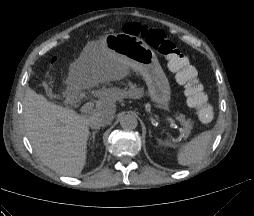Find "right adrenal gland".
Returning <instances> with one entry per match:
<instances>
[{
	"label": "right adrenal gland",
	"mask_w": 254,
	"mask_h": 216,
	"mask_svg": "<svg viewBox=\"0 0 254 216\" xmlns=\"http://www.w3.org/2000/svg\"><path fill=\"white\" fill-rule=\"evenodd\" d=\"M98 133V130H95L92 132V135L90 136V139L93 140V142L95 141V134Z\"/></svg>",
	"instance_id": "obj_1"
}]
</instances>
